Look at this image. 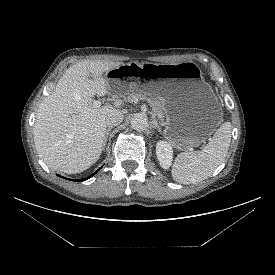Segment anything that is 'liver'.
<instances>
[{
	"label": "liver",
	"mask_w": 275,
	"mask_h": 275,
	"mask_svg": "<svg viewBox=\"0 0 275 275\" xmlns=\"http://www.w3.org/2000/svg\"><path fill=\"white\" fill-rule=\"evenodd\" d=\"M121 65L122 62L100 60L79 62L66 70L54 91L43 99L33 135L37 153L49 168L80 173L99 159L106 116L118 110L121 103L95 107L93 96L109 93L102 75Z\"/></svg>",
	"instance_id": "liver-1"
}]
</instances>
